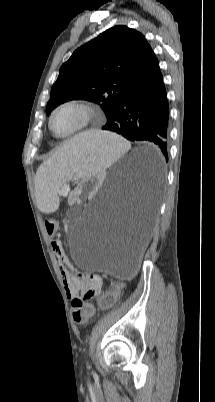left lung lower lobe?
Listing matches in <instances>:
<instances>
[{"label":"left lung lower lobe","mask_w":215,"mask_h":402,"mask_svg":"<svg viewBox=\"0 0 215 402\" xmlns=\"http://www.w3.org/2000/svg\"><path fill=\"white\" fill-rule=\"evenodd\" d=\"M168 120L169 104L157 62L133 84L102 129L154 144L168 161ZM146 190L154 205L157 186L149 182Z\"/></svg>","instance_id":"obj_1"}]
</instances>
